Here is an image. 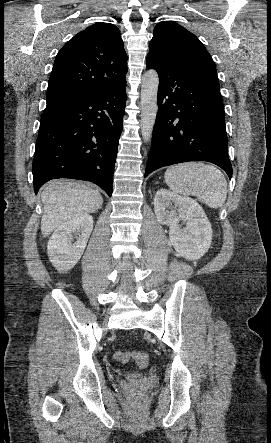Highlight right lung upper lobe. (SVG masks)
I'll use <instances>...</instances> for the list:
<instances>
[{
    "label": "right lung upper lobe",
    "instance_id": "cb5924a9",
    "mask_svg": "<svg viewBox=\"0 0 271 443\" xmlns=\"http://www.w3.org/2000/svg\"><path fill=\"white\" fill-rule=\"evenodd\" d=\"M127 55L119 29L97 23L75 35L58 52L48 82L47 103L126 83Z\"/></svg>",
    "mask_w": 271,
    "mask_h": 443
}]
</instances>
